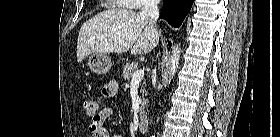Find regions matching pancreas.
Masks as SVG:
<instances>
[{
  "instance_id": "1",
  "label": "pancreas",
  "mask_w": 280,
  "mask_h": 137,
  "mask_svg": "<svg viewBox=\"0 0 280 137\" xmlns=\"http://www.w3.org/2000/svg\"><path fill=\"white\" fill-rule=\"evenodd\" d=\"M137 70H138V64L137 63H134V62L133 63H128L127 65L123 66L122 75L125 78V80L129 81L131 79L133 73ZM141 92H142V95H143V103H142L141 108H140V117L143 118L145 116L144 107L147 104V100L145 99V95H146L145 83L141 87Z\"/></svg>"
}]
</instances>
